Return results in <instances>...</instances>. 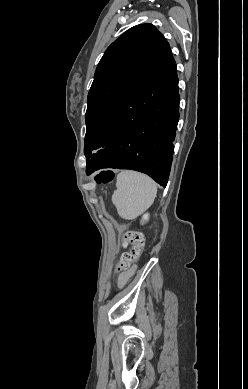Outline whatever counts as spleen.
<instances>
[{
	"label": "spleen",
	"instance_id": "spleen-1",
	"mask_svg": "<svg viewBox=\"0 0 248 389\" xmlns=\"http://www.w3.org/2000/svg\"><path fill=\"white\" fill-rule=\"evenodd\" d=\"M112 202L122 218L132 220L154 202L157 185L149 176L136 171H122L117 176Z\"/></svg>",
	"mask_w": 248,
	"mask_h": 389
}]
</instances>
